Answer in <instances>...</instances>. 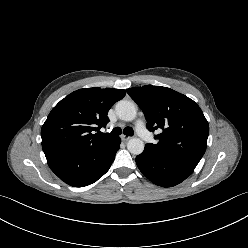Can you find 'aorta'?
<instances>
[{"mask_svg":"<svg viewBox=\"0 0 248 248\" xmlns=\"http://www.w3.org/2000/svg\"><path fill=\"white\" fill-rule=\"evenodd\" d=\"M115 111L117 116L123 121H132L137 114L134 103L128 100L117 102ZM127 149L131 154L139 155L144 150V142L139 138H132L127 143Z\"/></svg>","mask_w":248,"mask_h":248,"instance_id":"762f6f07","label":"aorta"}]
</instances>
